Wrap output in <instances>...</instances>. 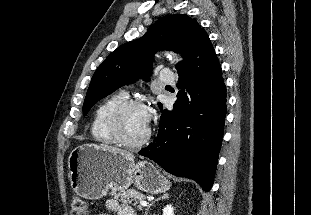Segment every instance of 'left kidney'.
<instances>
[{"label":"left kidney","mask_w":311,"mask_h":215,"mask_svg":"<svg viewBox=\"0 0 311 215\" xmlns=\"http://www.w3.org/2000/svg\"><path fill=\"white\" fill-rule=\"evenodd\" d=\"M163 215H174V208L172 205H167L163 209Z\"/></svg>","instance_id":"left-kidney-1"}]
</instances>
